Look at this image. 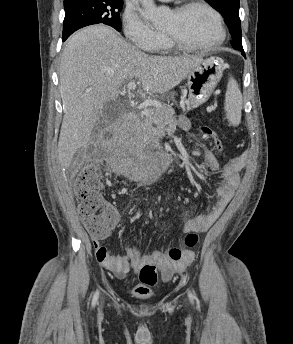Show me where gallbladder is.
Here are the masks:
<instances>
[{
    "instance_id": "1",
    "label": "gallbladder",
    "mask_w": 293,
    "mask_h": 344,
    "mask_svg": "<svg viewBox=\"0 0 293 344\" xmlns=\"http://www.w3.org/2000/svg\"><path fill=\"white\" fill-rule=\"evenodd\" d=\"M119 113L120 106L116 100L107 102L101 110V116L105 120H113L119 115Z\"/></svg>"
}]
</instances>
